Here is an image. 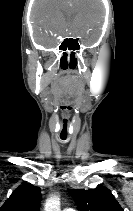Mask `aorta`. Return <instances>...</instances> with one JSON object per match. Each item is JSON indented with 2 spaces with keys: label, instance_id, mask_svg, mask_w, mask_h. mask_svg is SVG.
Wrapping results in <instances>:
<instances>
[{
  "label": "aorta",
  "instance_id": "762f6f07",
  "mask_svg": "<svg viewBox=\"0 0 133 211\" xmlns=\"http://www.w3.org/2000/svg\"><path fill=\"white\" fill-rule=\"evenodd\" d=\"M44 211H60V198L57 195H51L46 200Z\"/></svg>",
  "mask_w": 133,
  "mask_h": 211
}]
</instances>
